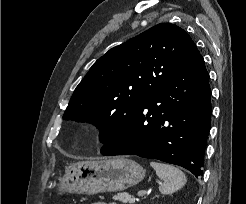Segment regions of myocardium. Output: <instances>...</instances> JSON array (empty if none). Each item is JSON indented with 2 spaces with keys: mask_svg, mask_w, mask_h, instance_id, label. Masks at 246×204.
Returning a JSON list of instances; mask_svg holds the SVG:
<instances>
[{
  "mask_svg": "<svg viewBox=\"0 0 246 204\" xmlns=\"http://www.w3.org/2000/svg\"><path fill=\"white\" fill-rule=\"evenodd\" d=\"M101 129L94 124L85 125L80 131V138L85 142H92L99 137Z\"/></svg>",
  "mask_w": 246,
  "mask_h": 204,
  "instance_id": "1",
  "label": "myocardium"
}]
</instances>
